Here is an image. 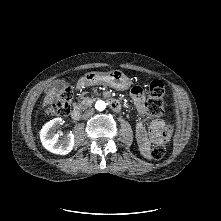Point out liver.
<instances>
[{
	"mask_svg": "<svg viewBox=\"0 0 221 221\" xmlns=\"http://www.w3.org/2000/svg\"><path fill=\"white\" fill-rule=\"evenodd\" d=\"M59 95V91L56 89V87H52L46 94L44 100H43V108L46 107L49 104H52L56 98Z\"/></svg>",
	"mask_w": 221,
	"mask_h": 221,
	"instance_id": "liver-1",
	"label": "liver"
}]
</instances>
